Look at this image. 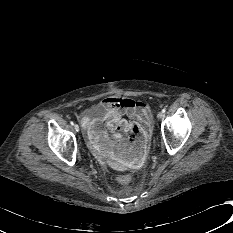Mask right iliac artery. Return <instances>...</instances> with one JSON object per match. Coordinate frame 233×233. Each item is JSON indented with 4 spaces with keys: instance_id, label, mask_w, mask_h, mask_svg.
Returning a JSON list of instances; mask_svg holds the SVG:
<instances>
[{
    "instance_id": "right-iliac-artery-1",
    "label": "right iliac artery",
    "mask_w": 233,
    "mask_h": 233,
    "mask_svg": "<svg viewBox=\"0 0 233 233\" xmlns=\"http://www.w3.org/2000/svg\"><path fill=\"white\" fill-rule=\"evenodd\" d=\"M71 125H74V123L71 121Z\"/></svg>"
}]
</instances>
